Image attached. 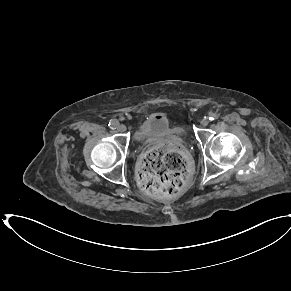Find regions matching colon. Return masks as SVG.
Returning <instances> with one entry per match:
<instances>
[{"label":"colon","mask_w":291,"mask_h":291,"mask_svg":"<svg viewBox=\"0 0 291 291\" xmlns=\"http://www.w3.org/2000/svg\"><path fill=\"white\" fill-rule=\"evenodd\" d=\"M189 174V162L175 144H155L142 157L139 183L153 197H171L187 186Z\"/></svg>","instance_id":"5ec220e1"}]
</instances>
